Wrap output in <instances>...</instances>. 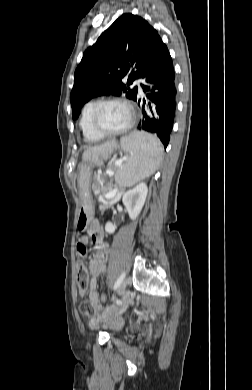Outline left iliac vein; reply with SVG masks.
Here are the masks:
<instances>
[{
    "instance_id": "1",
    "label": "left iliac vein",
    "mask_w": 252,
    "mask_h": 390,
    "mask_svg": "<svg viewBox=\"0 0 252 390\" xmlns=\"http://www.w3.org/2000/svg\"><path fill=\"white\" fill-rule=\"evenodd\" d=\"M118 292L122 293V300H121V304H120L119 308H117V309L112 308V309L106 311V316H105V317H108L109 315H111V318L113 320L119 319L120 315L126 311L128 305H129V301H130L129 292L126 289V283H123L121 285Z\"/></svg>"
}]
</instances>
